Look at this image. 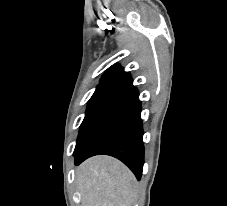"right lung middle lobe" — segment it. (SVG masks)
I'll list each match as a JSON object with an SVG mask.
<instances>
[{"label":"right lung middle lobe","mask_w":227,"mask_h":206,"mask_svg":"<svg viewBox=\"0 0 227 206\" xmlns=\"http://www.w3.org/2000/svg\"><path fill=\"white\" fill-rule=\"evenodd\" d=\"M130 85L126 83L110 82L101 83L88 101L85 118L80 126L76 147L81 144L85 137L95 126L100 116L117 100L129 91Z\"/></svg>","instance_id":"1"}]
</instances>
